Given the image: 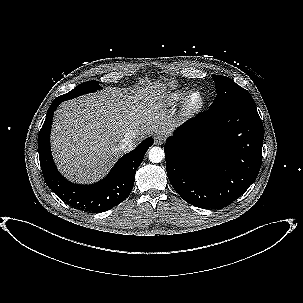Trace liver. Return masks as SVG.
I'll return each mask as SVG.
<instances>
[{"label": "liver", "mask_w": 303, "mask_h": 303, "mask_svg": "<svg viewBox=\"0 0 303 303\" xmlns=\"http://www.w3.org/2000/svg\"><path fill=\"white\" fill-rule=\"evenodd\" d=\"M153 84L137 90L110 87L62 103L51 133L61 173L94 182L123 154L119 145L127 133H135V146L146 135L171 134L177 124L164 111L161 83Z\"/></svg>", "instance_id": "obj_1"}]
</instances>
